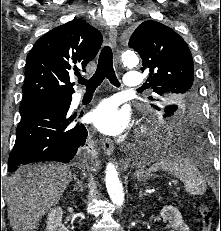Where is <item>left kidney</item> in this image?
<instances>
[{
	"label": "left kidney",
	"mask_w": 221,
	"mask_h": 231,
	"mask_svg": "<svg viewBox=\"0 0 221 231\" xmlns=\"http://www.w3.org/2000/svg\"><path fill=\"white\" fill-rule=\"evenodd\" d=\"M164 222L168 221L171 231H189V227L184 223L182 215L174 206H164L160 212Z\"/></svg>",
	"instance_id": "obj_1"
}]
</instances>
